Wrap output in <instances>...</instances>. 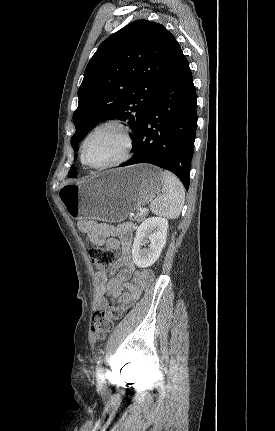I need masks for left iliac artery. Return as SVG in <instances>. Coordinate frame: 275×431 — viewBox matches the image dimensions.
Returning <instances> with one entry per match:
<instances>
[{
	"label": "left iliac artery",
	"instance_id": "1",
	"mask_svg": "<svg viewBox=\"0 0 275 431\" xmlns=\"http://www.w3.org/2000/svg\"><path fill=\"white\" fill-rule=\"evenodd\" d=\"M104 369L102 367V360L99 358L96 366V375L99 379L103 378Z\"/></svg>",
	"mask_w": 275,
	"mask_h": 431
}]
</instances>
